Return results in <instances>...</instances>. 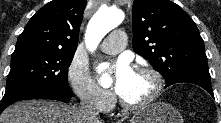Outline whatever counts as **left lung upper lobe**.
Wrapping results in <instances>:
<instances>
[{
	"label": "left lung upper lobe",
	"instance_id": "left-lung-upper-lobe-1",
	"mask_svg": "<svg viewBox=\"0 0 221 123\" xmlns=\"http://www.w3.org/2000/svg\"><path fill=\"white\" fill-rule=\"evenodd\" d=\"M133 50L166 83L187 76L210 79L205 47L191 17L169 0H134Z\"/></svg>",
	"mask_w": 221,
	"mask_h": 123
}]
</instances>
